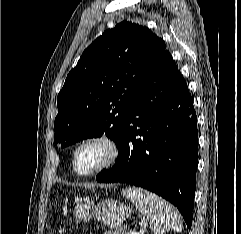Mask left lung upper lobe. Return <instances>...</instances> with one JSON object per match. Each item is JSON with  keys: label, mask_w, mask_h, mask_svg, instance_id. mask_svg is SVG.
Masks as SVG:
<instances>
[{"label": "left lung upper lobe", "mask_w": 241, "mask_h": 234, "mask_svg": "<svg viewBox=\"0 0 241 234\" xmlns=\"http://www.w3.org/2000/svg\"><path fill=\"white\" fill-rule=\"evenodd\" d=\"M165 47L149 28L128 21L98 37L58 94L55 144L63 148L105 133L119 148L129 106Z\"/></svg>", "instance_id": "left-lung-upper-lobe-1"}]
</instances>
